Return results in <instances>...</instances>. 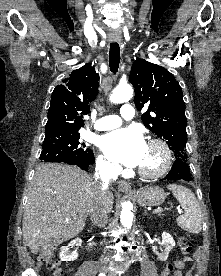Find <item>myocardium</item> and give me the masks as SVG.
<instances>
[{"label":"myocardium","instance_id":"1","mask_svg":"<svg viewBox=\"0 0 221 276\" xmlns=\"http://www.w3.org/2000/svg\"><path fill=\"white\" fill-rule=\"evenodd\" d=\"M147 146L157 148L161 153L160 165L155 169H145L139 167L138 173L147 179H155L163 176L168 172L172 165L173 155L169 145L162 139L152 138L148 141Z\"/></svg>","mask_w":221,"mask_h":276}]
</instances>
